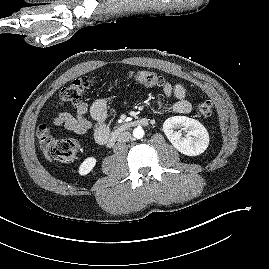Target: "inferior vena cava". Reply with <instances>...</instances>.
<instances>
[{
  "instance_id": "602c4592",
  "label": "inferior vena cava",
  "mask_w": 269,
  "mask_h": 269,
  "mask_svg": "<svg viewBox=\"0 0 269 269\" xmlns=\"http://www.w3.org/2000/svg\"><path fill=\"white\" fill-rule=\"evenodd\" d=\"M130 139H131V134H130V132H128V131H124V132H122V133L119 135V137H118V141H119L120 143L127 142V141H129Z\"/></svg>"
}]
</instances>
